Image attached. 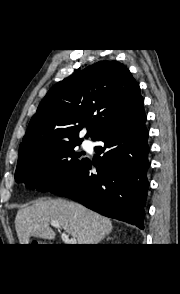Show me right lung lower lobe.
Instances as JSON below:
<instances>
[{
    "label": "right lung lower lobe",
    "mask_w": 180,
    "mask_h": 294,
    "mask_svg": "<svg viewBox=\"0 0 180 294\" xmlns=\"http://www.w3.org/2000/svg\"><path fill=\"white\" fill-rule=\"evenodd\" d=\"M146 115L143 99L101 130L93 141L99 164L87 160L66 183L50 192L77 200L111 218L144 228V206L149 183ZM97 169V174L91 172Z\"/></svg>",
    "instance_id": "98d812e1"
}]
</instances>
